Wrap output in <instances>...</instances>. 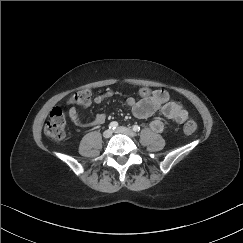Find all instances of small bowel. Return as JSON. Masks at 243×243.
<instances>
[{
	"mask_svg": "<svg viewBox=\"0 0 243 243\" xmlns=\"http://www.w3.org/2000/svg\"><path fill=\"white\" fill-rule=\"evenodd\" d=\"M112 95V91H106L95 96L94 102L96 104H101L112 97ZM139 95V100L130 97L126 101V105L131 110L132 114L139 119L148 118L158 110H160L167 119L173 120L177 124L186 122L189 117L188 110L181 104L171 101L168 92L165 90L158 89L151 91L148 88H141L139 90ZM69 117L71 122L79 128H83L87 125H101L106 121V115L99 113L91 123H86L81 119L75 107L70 108ZM164 127V122L160 119H154L150 123L152 131L157 133L163 131Z\"/></svg>",
	"mask_w": 243,
	"mask_h": 243,
	"instance_id": "1",
	"label": "small bowel"
}]
</instances>
